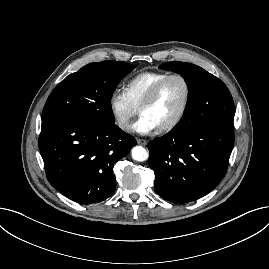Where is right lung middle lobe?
I'll return each instance as SVG.
<instances>
[{
	"label": "right lung middle lobe",
	"instance_id": "right-lung-middle-lobe-1",
	"mask_svg": "<svg viewBox=\"0 0 269 269\" xmlns=\"http://www.w3.org/2000/svg\"><path fill=\"white\" fill-rule=\"evenodd\" d=\"M135 67L121 61H103L68 75L47 99L42 121L66 117L97 126L113 125L112 94L120 80Z\"/></svg>",
	"mask_w": 269,
	"mask_h": 269
}]
</instances>
